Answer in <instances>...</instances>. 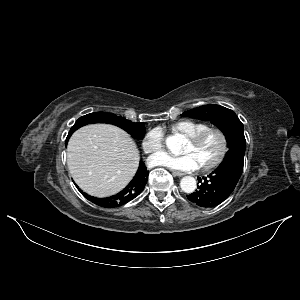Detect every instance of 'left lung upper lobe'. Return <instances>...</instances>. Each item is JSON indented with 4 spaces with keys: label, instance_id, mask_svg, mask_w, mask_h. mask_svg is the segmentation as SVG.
Segmentation results:
<instances>
[{
    "label": "left lung upper lobe",
    "instance_id": "left-lung-upper-lobe-1",
    "mask_svg": "<svg viewBox=\"0 0 300 300\" xmlns=\"http://www.w3.org/2000/svg\"><path fill=\"white\" fill-rule=\"evenodd\" d=\"M182 116L211 121L225 134L229 148L225 158L229 156L244 158L246 140L243 124L232 110L220 105H204L188 110Z\"/></svg>",
    "mask_w": 300,
    "mask_h": 300
}]
</instances>
